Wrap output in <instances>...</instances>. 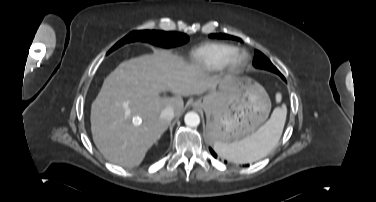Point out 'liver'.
<instances>
[{
    "instance_id": "liver-1",
    "label": "liver",
    "mask_w": 376,
    "mask_h": 202,
    "mask_svg": "<svg viewBox=\"0 0 376 202\" xmlns=\"http://www.w3.org/2000/svg\"><path fill=\"white\" fill-rule=\"evenodd\" d=\"M220 82L218 76H209L201 66L169 50L124 61L106 77L92 103L93 141L110 162L138 166L169 126L170 121L160 118L161 112L172 107L180 116L181 96L201 95ZM160 92L175 96L161 97Z\"/></svg>"
}]
</instances>
